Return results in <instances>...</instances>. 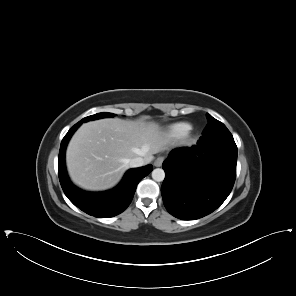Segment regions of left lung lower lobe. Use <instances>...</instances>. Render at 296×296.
Listing matches in <instances>:
<instances>
[{
	"label": "left lung lower lobe",
	"instance_id": "1",
	"mask_svg": "<svg viewBox=\"0 0 296 296\" xmlns=\"http://www.w3.org/2000/svg\"><path fill=\"white\" fill-rule=\"evenodd\" d=\"M204 152L203 160L196 154ZM236 144H206L176 148L163 162L165 179L161 187L168 212L182 220H194L216 210L230 194L237 164Z\"/></svg>",
	"mask_w": 296,
	"mask_h": 296
}]
</instances>
